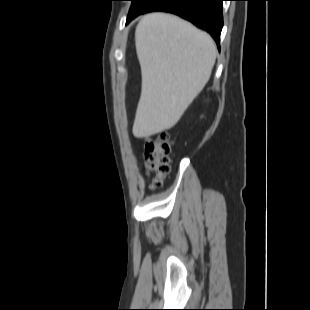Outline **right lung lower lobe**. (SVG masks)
<instances>
[{"label":"right lung lower lobe","mask_w":310,"mask_h":310,"mask_svg":"<svg viewBox=\"0 0 310 310\" xmlns=\"http://www.w3.org/2000/svg\"><path fill=\"white\" fill-rule=\"evenodd\" d=\"M222 1L223 0H158L141 12L128 16L127 23L138 15L146 12H171L207 31L219 47L220 33L223 27Z\"/></svg>","instance_id":"obj_1"}]
</instances>
